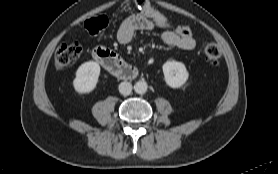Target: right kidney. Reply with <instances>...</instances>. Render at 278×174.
Masks as SVG:
<instances>
[{
  "instance_id": "right-kidney-1",
  "label": "right kidney",
  "mask_w": 278,
  "mask_h": 174,
  "mask_svg": "<svg viewBox=\"0 0 278 174\" xmlns=\"http://www.w3.org/2000/svg\"><path fill=\"white\" fill-rule=\"evenodd\" d=\"M100 75V66L94 61H88L79 66L73 86L79 94L90 93L96 87Z\"/></svg>"
}]
</instances>
